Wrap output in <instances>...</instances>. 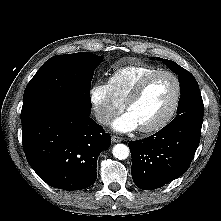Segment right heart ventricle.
I'll return each mask as SVG.
<instances>
[{"label": "right heart ventricle", "mask_w": 221, "mask_h": 221, "mask_svg": "<svg viewBox=\"0 0 221 221\" xmlns=\"http://www.w3.org/2000/svg\"><path fill=\"white\" fill-rule=\"evenodd\" d=\"M157 70L156 67L144 64L123 66L109 76L108 86L116 100L123 105L140 79Z\"/></svg>", "instance_id": "right-heart-ventricle-1"}]
</instances>
